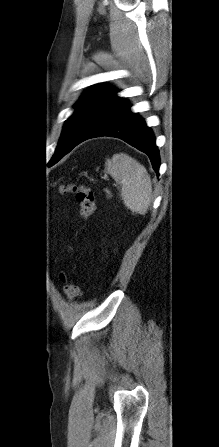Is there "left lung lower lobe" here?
<instances>
[{
    "label": "left lung lower lobe",
    "instance_id": "obj_1",
    "mask_svg": "<svg viewBox=\"0 0 219 447\" xmlns=\"http://www.w3.org/2000/svg\"><path fill=\"white\" fill-rule=\"evenodd\" d=\"M109 136L124 140L128 144L148 155L153 169L159 173L160 158L155 138L145 121L130 111V105L123 100L120 104L82 141L94 137ZM81 141V142H82ZM79 142V143H81ZM79 143H75L60 156L52 158L48 166L58 162Z\"/></svg>",
    "mask_w": 219,
    "mask_h": 447
}]
</instances>
